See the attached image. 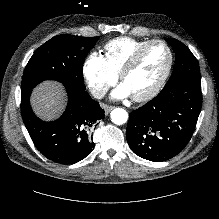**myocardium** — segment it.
Returning a JSON list of instances; mask_svg holds the SVG:
<instances>
[{
    "label": "myocardium",
    "instance_id": "myocardium-1",
    "mask_svg": "<svg viewBox=\"0 0 219 219\" xmlns=\"http://www.w3.org/2000/svg\"><path fill=\"white\" fill-rule=\"evenodd\" d=\"M155 44H160L166 48L168 55H169L168 65H167L164 73L162 74V76L158 79V81L148 91H146L145 93L140 94V95L131 96L132 99L137 101V102L150 100L151 98L156 96L161 91V89L164 87L167 79L169 78V76L171 74L173 63H174V54H173L171 47L163 40H159V39L150 40L144 46H142L141 48L136 50L128 58V60L125 62V64L122 66V68L119 72V79L121 82H123L124 77L135 67V65L138 63V61L140 60L142 55L146 52V50Z\"/></svg>",
    "mask_w": 219,
    "mask_h": 219
}]
</instances>
